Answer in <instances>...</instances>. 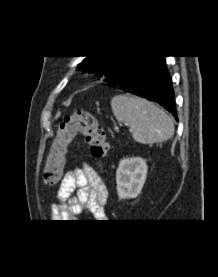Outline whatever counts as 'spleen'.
<instances>
[{
    "label": "spleen",
    "instance_id": "obj_1",
    "mask_svg": "<svg viewBox=\"0 0 218 277\" xmlns=\"http://www.w3.org/2000/svg\"><path fill=\"white\" fill-rule=\"evenodd\" d=\"M111 108L119 123H128L133 139L139 143L163 142L174 134L172 118L146 99L116 95L111 100Z\"/></svg>",
    "mask_w": 218,
    "mask_h": 277
}]
</instances>
